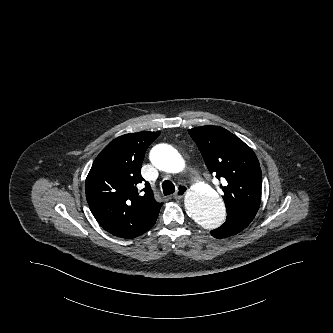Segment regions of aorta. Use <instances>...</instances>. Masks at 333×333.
Returning a JSON list of instances; mask_svg holds the SVG:
<instances>
[{"mask_svg":"<svg viewBox=\"0 0 333 333\" xmlns=\"http://www.w3.org/2000/svg\"><path fill=\"white\" fill-rule=\"evenodd\" d=\"M151 163L159 170L175 173L184 167V160L170 145L155 146L150 153ZM188 215L203 229L213 230L223 224L225 205L218 194L206 183H197L185 196Z\"/></svg>","mask_w":333,"mask_h":333,"instance_id":"762f6f07","label":"aorta"}]
</instances>
